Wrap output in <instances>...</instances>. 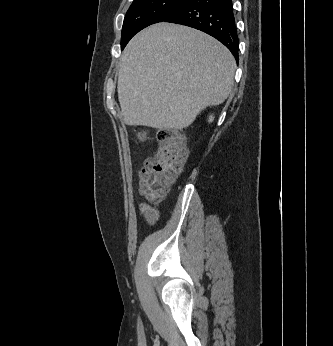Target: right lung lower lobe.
Instances as JSON below:
<instances>
[{
  "instance_id": "98d812e1",
  "label": "right lung lower lobe",
  "mask_w": 333,
  "mask_h": 346,
  "mask_svg": "<svg viewBox=\"0 0 333 346\" xmlns=\"http://www.w3.org/2000/svg\"><path fill=\"white\" fill-rule=\"evenodd\" d=\"M164 22L189 26L213 36L238 62L239 42L232 0H184Z\"/></svg>"
}]
</instances>
